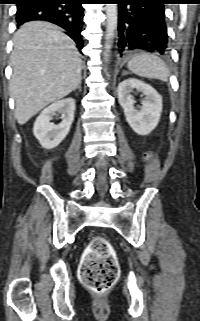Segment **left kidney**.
<instances>
[{
    "instance_id": "obj_1",
    "label": "left kidney",
    "mask_w": 200,
    "mask_h": 321,
    "mask_svg": "<svg viewBox=\"0 0 200 321\" xmlns=\"http://www.w3.org/2000/svg\"><path fill=\"white\" fill-rule=\"evenodd\" d=\"M141 91L145 98L140 110L135 109L131 92ZM118 101L124 109L126 121L138 135H148L158 125L162 113V98L150 85L134 78L122 81L118 85Z\"/></svg>"
}]
</instances>
